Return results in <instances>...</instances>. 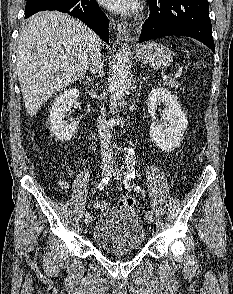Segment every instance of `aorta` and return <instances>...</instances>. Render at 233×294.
Listing matches in <instances>:
<instances>
[{
	"label": "aorta",
	"instance_id": "aorta-1",
	"mask_svg": "<svg viewBox=\"0 0 233 294\" xmlns=\"http://www.w3.org/2000/svg\"><path fill=\"white\" fill-rule=\"evenodd\" d=\"M130 77V47L124 44L116 54L113 64L112 78L110 82V110L112 113L117 109L122 100L126 85ZM126 163L130 166L135 164V156L132 149L128 150Z\"/></svg>",
	"mask_w": 233,
	"mask_h": 294
}]
</instances>
